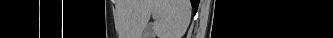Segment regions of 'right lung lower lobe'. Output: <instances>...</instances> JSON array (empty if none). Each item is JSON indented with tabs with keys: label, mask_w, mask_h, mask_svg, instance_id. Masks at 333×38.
Here are the masks:
<instances>
[{
	"label": "right lung lower lobe",
	"mask_w": 333,
	"mask_h": 38,
	"mask_svg": "<svg viewBox=\"0 0 333 38\" xmlns=\"http://www.w3.org/2000/svg\"><path fill=\"white\" fill-rule=\"evenodd\" d=\"M190 1H191V3H192L193 10H195V8H196V4H198V1H196V0H190Z\"/></svg>",
	"instance_id": "right-lung-lower-lobe-1"
}]
</instances>
